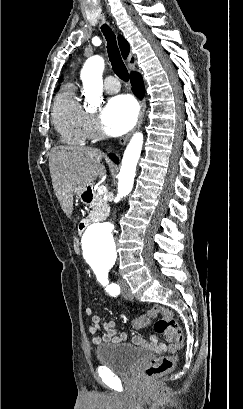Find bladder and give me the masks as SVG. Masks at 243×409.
I'll return each mask as SVG.
<instances>
[{
    "mask_svg": "<svg viewBox=\"0 0 243 409\" xmlns=\"http://www.w3.org/2000/svg\"><path fill=\"white\" fill-rule=\"evenodd\" d=\"M95 354L101 365L122 374L129 373L140 361L150 355L146 349L125 343L100 345Z\"/></svg>",
    "mask_w": 243,
    "mask_h": 409,
    "instance_id": "obj_1",
    "label": "bladder"
}]
</instances>
